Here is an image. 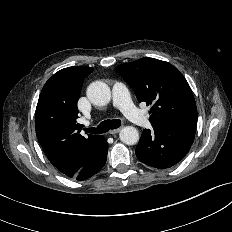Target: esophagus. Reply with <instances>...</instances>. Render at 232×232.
<instances>
[{"label":"esophagus","mask_w":232,"mask_h":232,"mask_svg":"<svg viewBox=\"0 0 232 232\" xmlns=\"http://www.w3.org/2000/svg\"><path fill=\"white\" fill-rule=\"evenodd\" d=\"M120 130H121V128H117V129H112V130H110V134H112V135H114V134H117V133H119L120 132Z\"/></svg>","instance_id":"obj_1"}]
</instances>
